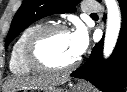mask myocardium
Wrapping results in <instances>:
<instances>
[{
  "mask_svg": "<svg viewBox=\"0 0 127 92\" xmlns=\"http://www.w3.org/2000/svg\"><path fill=\"white\" fill-rule=\"evenodd\" d=\"M57 32L70 33V29L66 25L60 23L48 24L37 29L28 38L24 49V57L27 64L35 71L44 73H68L79 64V57L63 67L51 66L41 58L40 46L50 35Z\"/></svg>",
  "mask_w": 127,
  "mask_h": 92,
  "instance_id": "f54148a6",
  "label": "myocardium"
}]
</instances>
